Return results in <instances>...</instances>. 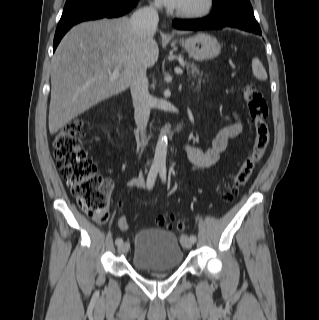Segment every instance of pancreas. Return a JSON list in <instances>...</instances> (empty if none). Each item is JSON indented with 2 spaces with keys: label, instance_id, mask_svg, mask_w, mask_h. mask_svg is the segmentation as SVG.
I'll list each match as a JSON object with an SVG mask.
<instances>
[{
  "label": "pancreas",
  "instance_id": "cf45deb5",
  "mask_svg": "<svg viewBox=\"0 0 319 320\" xmlns=\"http://www.w3.org/2000/svg\"><path fill=\"white\" fill-rule=\"evenodd\" d=\"M181 64L187 68V72L189 75H192L193 77L198 76L199 83L201 82L203 73L199 71L198 67L194 63L188 62L186 60H182Z\"/></svg>",
  "mask_w": 319,
  "mask_h": 320
}]
</instances>
